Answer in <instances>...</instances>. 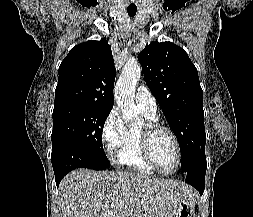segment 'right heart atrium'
Here are the masks:
<instances>
[{"label": "right heart atrium", "instance_id": "1", "mask_svg": "<svg viewBox=\"0 0 253 217\" xmlns=\"http://www.w3.org/2000/svg\"><path fill=\"white\" fill-rule=\"evenodd\" d=\"M127 136V128L117 108H113L103 122L101 138L109 158H113Z\"/></svg>", "mask_w": 253, "mask_h": 217}]
</instances>
